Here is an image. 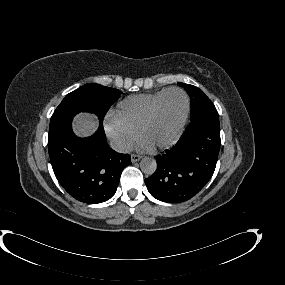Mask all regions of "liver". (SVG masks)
Wrapping results in <instances>:
<instances>
[{
	"label": "liver",
	"instance_id": "obj_1",
	"mask_svg": "<svg viewBox=\"0 0 285 285\" xmlns=\"http://www.w3.org/2000/svg\"><path fill=\"white\" fill-rule=\"evenodd\" d=\"M95 127L96 123L89 114L81 113L75 117L74 131L77 135L82 137L90 136Z\"/></svg>",
	"mask_w": 285,
	"mask_h": 285
}]
</instances>
